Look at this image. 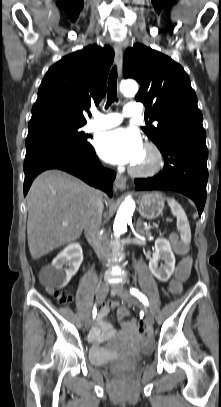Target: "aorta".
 Returning a JSON list of instances; mask_svg holds the SVG:
<instances>
[{
  "instance_id": "1",
  "label": "aorta",
  "mask_w": 221,
  "mask_h": 407,
  "mask_svg": "<svg viewBox=\"0 0 221 407\" xmlns=\"http://www.w3.org/2000/svg\"><path fill=\"white\" fill-rule=\"evenodd\" d=\"M120 90L124 94L135 95L138 91V85L133 80L123 81L120 85ZM135 209L133 198L128 195L124 202L120 205L113 225L114 235L119 237L127 231V223L131 220Z\"/></svg>"
}]
</instances>
